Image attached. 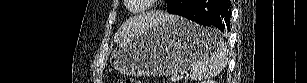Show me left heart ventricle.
Segmentation results:
<instances>
[{
	"mask_svg": "<svg viewBox=\"0 0 307 83\" xmlns=\"http://www.w3.org/2000/svg\"><path fill=\"white\" fill-rule=\"evenodd\" d=\"M138 6L137 5H133V8H137Z\"/></svg>",
	"mask_w": 307,
	"mask_h": 83,
	"instance_id": "left-heart-ventricle-1",
	"label": "left heart ventricle"
}]
</instances>
